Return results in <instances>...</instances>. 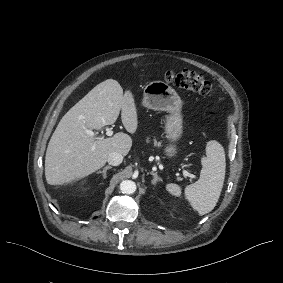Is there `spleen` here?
I'll return each instance as SVG.
<instances>
[{"mask_svg": "<svg viewBox=\"0 0 283 283\" xmlns=\"http://www.w3.org/2000/svg\"><path fill=\"white\" fill-rule=\"evenodd\" d=\"M207 158L203 159V168L199 180L186 188V196L201 214L209 213L216 206L224 185L226 173V155L222 144L212 140L206 146ZM174 195L181 191L175 184L167 185Z\"/></svg>", "mask_w": 283, "mask_h": 283, "instance_id": "obj_1", "label": "spleen"}]
</instances>
